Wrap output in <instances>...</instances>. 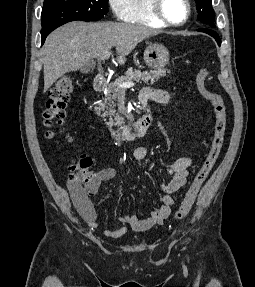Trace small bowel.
<instances>
[{
  "label": "small bowel",
  "instance_id": "obj_1",
  "mask_svg": "<svg viewBox=\"0 0 255 287\" xmlns=\"http://www.w3.org/2000/svg\"><path fill=\"white\" fill-rule=\"evenodd\" d=\"M153 98L162 104H168L171 97L166 92H155ZM148 149L145 146H139L133 151V158L137 163H141L146 159ZM192 165V159L189 157H180L176 159L166 170L169 177L168 181L161 185L164 192L161 197L160 206L145 219H139L136 215H123L119 217V222L122 224L117 229H107L104 235L110 238H119L127 232L128 227L134 231L141 232L152 228L155 225L162 224L171 214L172 207L176 202V193L184 188L188 169ZM115 176V171L112 168L100 170L94 179L86 188L81 184L80 180H69L68 189L72 198L73 204L84 222L91 228L95 229L98 226L95 208L89 198L90 195L96 194L105 182H108Z\"/></svg>",
  "mask_w": 255,
  "mask_h": 287
}]
</instances>
